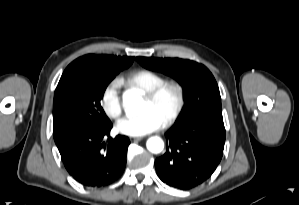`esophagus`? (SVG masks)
<instances>
[{
    "label": "esophagus",
    "mask_w": 299,
    "mask_h": 205,
    "mask_svg": "<svg viewBox=\"0 0 299 205\" xmlns=\"http://www.w3.org/2000/svg\"><path fill=\"white\" fill-rule=\"evenodd\" d=\"M129 139L131 142H137V141H141L142 137H130Z\"/></svg>",
    "instance_id": "obj_1"
}]
</instances>
